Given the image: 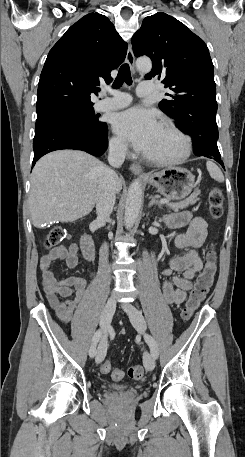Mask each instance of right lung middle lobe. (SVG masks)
I'll list each match as a JSON object with an SVG mask.
<instances>
[{"mask_svg":"<svg viewBox=\"0 0 245 457\" xmlns=\"http://www.w3.org/2000/svg\"><path fill=\"white\" fill-rule=\"evenodd\" d=\"M97 118L91 101L71 100L60 103L54 109L37 112L35 128L51 122H72L94 130L101 125Z\"/></svg>","mask_w":245,"mask_h":457,"instance_id":"1","label":"right lung middle lobe"}]
</instances>
